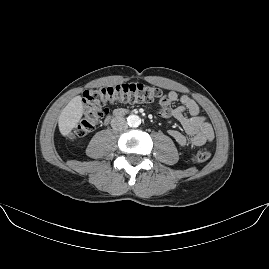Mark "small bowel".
Returning a JSON list of instances; mask_svg holds the SVG:
<instances>
[{
	"label": "small bowel",
	"instance_id": "small-bowel-1",
	"mask_svg": "<svg viewBox=\"0 0 269 269\" xmlns=\"http://www.w3.org/2000/svg\"><path fill=\"white\" fill-rule=\"evenodd\" d=\"M177 101L181 105L173 108L172 105ZM157 114L161 117L172 116L182 126L186 134L178 130L169 131L170 136L180 146L204 147L214 141L212 125L200 115L197 103L186 95L179 96L175 91L167 92L160 101Z\"/></svg>",
	"mask_w": 269,
	"mask_h": 269
}]
</instances>
